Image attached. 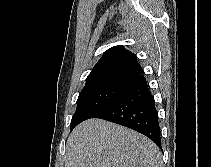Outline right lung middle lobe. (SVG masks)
<instances>
[{
	"mask_svg": "<svg viewBox=\"0 0 211 167\" xmlns=\"http://www.w3.org/2000/svg\"><path fill=\"white\" fill-rule=\"evenodd\" d=\"M132 85V80L103 79L86 83L77 99V109L71 120V130L117 99Z\"/></svg>",
	"mask_w": 211,
	"mask_h": 167,
	"instance_id": "dd1d6c3e",
	"label": "right lung middle lobe"
}]
</instances>
